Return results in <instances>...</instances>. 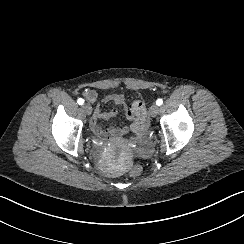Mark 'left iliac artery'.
I'll return each instance as SVG.
<instances>
[{
    "label": "left iliac artery",
    "instance_id": "obj_1",
    "mask_svg": "<svg viewBox=\"0 0 244 244\" xmlns=\"http://www.w3.org/2000/svg\"><path fill=\"white\" fill-rule=\"evenodd\" d=\"M162 103H163V100H162V99H158V100L156 101V104H157L158 106L162 105Z\"/></svg>",
    "mask_w": 244,
    "mask_h": 244
}]
</instances>
